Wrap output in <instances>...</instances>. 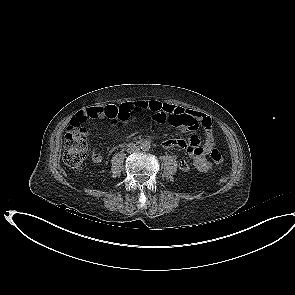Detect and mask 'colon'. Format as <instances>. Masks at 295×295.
I'll return each instance as SVG.
<instances>
[{"mask_svg": "<svg viewBox=\"0 0 295 295\" xmlns=\"http://www.w3.org/2000/svg\"><path fill=\"white\" fill-rule=\"evenodd\" d=\"M135 114L134 110L124 104L120 106H104V116L113 123L123 126ZM162 116L154 117L155 121L162 119ZM87 153V131L81 125L70 124L64 140L63 160L65 164L75 171L83 167ZM210 158L216 165L224 162V157L218 149L210 152Z\"/></svg>", "mask_w": 295, "mask_h": 295, "instance_id": "colon-1", "label": "colon"}]
</instances>
